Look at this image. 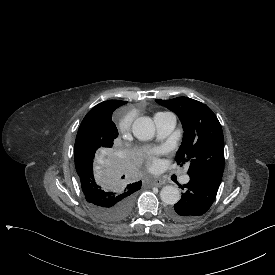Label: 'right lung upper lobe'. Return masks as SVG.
<instances>
[{"instance_id":"cb5924a9","label":"right lung upper lobe","mask_w":275,"mask_h":275,"mask_svg":"<svg viewBox=\"0 0 275 275\" xmlns=\"http://www.w3.org/2000/svg\"><path fill=\"white\" fill-rule=\"evenodd\" d=\"M126 101L120 100H109L102 102L95 107H93L87 115L84 117V122H100V121H110L113 111L120 107L123 104H126ZM128 187H141V181L129 184Z\"/></svg>"}]
</instances>
